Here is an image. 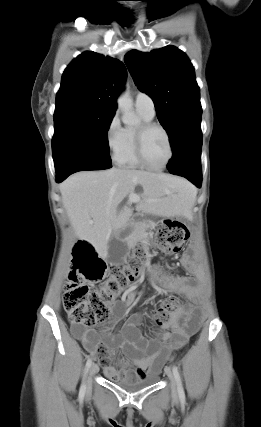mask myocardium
I'll return each mask as SVG.
<instances>
[{
    "instance_id": "1",
    "label": "myocardium",
    "mask_w": 261,
    "mask_h": 427,
    "mask_svg": "<svg viewBox=\"0 0 261 427\" xmlns=\"http://www.w3.org/2000/svg\"><path fill=\"white\" fill-rule=\"evenodd\" d=\"M152 130H160L165 135L168 143V147H169V156L165 161V163L160 166L151 165L145 157V152H144L145 137ZM135 153L138 161L143 167L150 170H155V171H160L165 169L174 157V148H173V144H172V140L169 132L161 124L144 122L135 130Z\"/></svg>"
}]
</instances>
